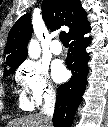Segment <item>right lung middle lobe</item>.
Instances as JSON below:
<instances>
[{
  "mask_svg": "<svg viewBox=\"0 0 108 127\" xmlns=\"http://www.w3.org/2000/svg\"><path fill=\"white\" fill-rule=\"evenodd\" d=\"M21 63L19 64H16V65H10L8 66L9 69H6L5 68V73L8 75V74H11V73H14L15 69L20 65Z\"/></svg>",
  "mask_w": 108,
  "mask_h": 127,
  "instance_id": "1",
  "label": "right lung middle lobe"
}]
</instances>
